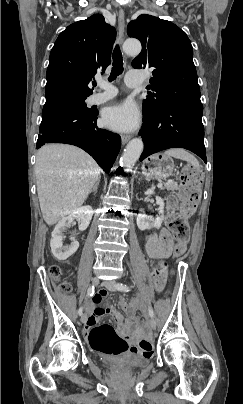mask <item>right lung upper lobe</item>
<instances>
[{
  "label": "right lung upper lobe",
  "instance_id": "right-lung-upper-lobe-1",
  "mask_svg": "<svg viewBox=\"0 0 243 404\" xmlns=\"http://www.w3.org/2000/svg\"><path fill=\"white\" fill-rule=\"evenodd\" d=\"M115 38L116 30L100 14L75 22L61 32L50 53L45 104L91 95L88 84L97 72H105L110 65Z\"/></svg>",
  "mask_w": 243,
  "mask_h": 404
}]
</instances>
